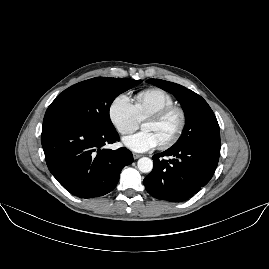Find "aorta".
I'll return each mask as SVG.
<instances>
[{
  "label": "aorta",
  "mask_w": 269,
  "mask_h": 269,
  "mask_svg": "<svg viewBox=\"0 0 269 269\" xmlns=\"http://www.w3.org/2000/svg\"><path fill=\"white\" fill-rule=\"evenodd\" d=\"M137 167L144 174L150 173L153 170V161L148 157H142L138 160Z\"/></svg>",
  "instance_id": "obj_1"
}]
</instances>
